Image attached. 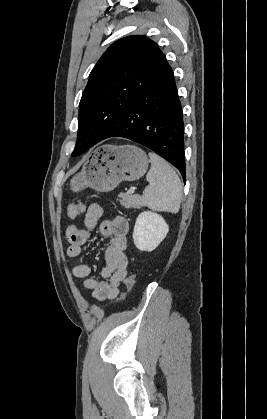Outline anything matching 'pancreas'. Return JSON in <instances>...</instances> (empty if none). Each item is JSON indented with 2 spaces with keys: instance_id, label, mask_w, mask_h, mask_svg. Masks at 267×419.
<instances>
[{
  "instance_id": "obj_1",
  "label": "pancreas",
  "mask_w": 267,
  "mask_h": 419,
  "mask_svg": "<svg viewBox=\"0 0 267 419\" xmlns=\"http://www.w3.org/2000/svg\"><path fill=\"white\" fill-rule=\"evenodd\" d=\"M118 197L121 198V200H119L120 204L125 208L140 209L144 206L141 196L121 193Z\"/></svg>"
}]
</instances>
